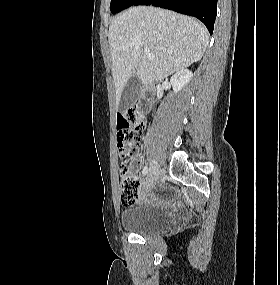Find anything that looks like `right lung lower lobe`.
Returning <instances> with one entry per match:
<instances>
[{
    "mask_svg": "<svg viewBox=\"0 0 280 285\" xmlns=\"http://www.w3.org/2000/svg\"><path fill=\"white\" fill-rule=\"evenodd\" d=\"M153 5L191 15L201 20L213 33L217 0H137L134 5Z\"/></svg>",
    "mask_w": 280,
    "mask_h": 285,
    "instance_id": "1",
    "label": "right lung lower lobe"
}]
</instances>
